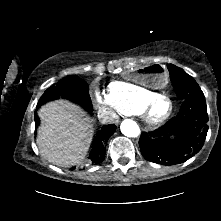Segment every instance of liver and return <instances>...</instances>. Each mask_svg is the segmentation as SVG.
Segmentation results:
<instances>
[{
  "label": "liver",
  "instance_id": "1",
  "mask_svg": "<svg viewBox=\"0 0 221 221\" xmlns=\"http://www.w3.org/2000/svg\"><path fill=\"white\" fill-rule=\"evenodd\" d=\"M41 125L36 143L40 154L49 162L68 167L80 164L91 140V119L76 104L57 100L42 106L38 113Z\"/></svg>",
  "mask_w": 221,
  "mask_h": 221
}]
</instances>
